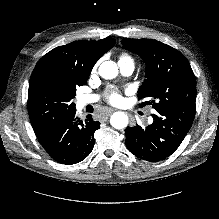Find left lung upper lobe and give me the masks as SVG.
I'll return each mask as SVG.
<instances>
[{
    "label": "left lung upper lobe",
    "mask_w": 219,
    "mask_h": 219,
    "mask_svg": "<svg viewBox=\"0 0 219 219\" xmlns=\"http://www.w3.org/2000/svg\"><path fill=\"white\" fill-rule=\"evenodd\" d=\"M126 49L146 63V78L138 97L156 109L175 108L196 102V80L188 60L178 50L151 39L125 38Z\"/></svg>",
    "instance_id": "obj_1"
}]
</instances>
